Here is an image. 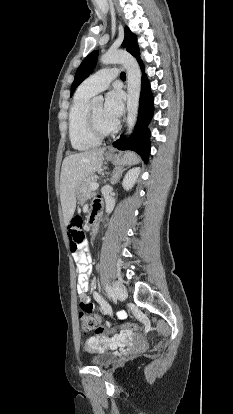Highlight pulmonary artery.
I'll return each mask as SVG.
<instances>
[{
    "instance_id": "1",
    "label": "pulmonary artery",
    "mask_w": 233,
    "mask_h": 414,
    "mask_svg": "<svg viewBox=\"0 0 233 414\" xmlns=\"http://www.w3.org/2000/svg\"><path fill=\"white\" fill-rule=\"evenodd\" d=\"M117 76L118 71L115 68L102 69L85 79L80 89L90 95H95L105 90Z\"/></svg>"
}]
</instances>
